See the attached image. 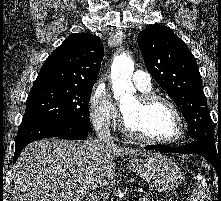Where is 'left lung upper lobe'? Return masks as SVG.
I'll return each instance as SVG.
<instances>
[{
    "mask_svg": "<svg viewBox=\"0 0 221 201\" xmlns=\"http://www.w3.org/2000/svg\"><path fill=\"white\" fill-rule=\"evenodd\" d=\"M138 45L149 73L180 107L191 140L216 148L199 69L186 44L169 27L151 25L139 33Z\"/></svg>",
    "mask_w": 221,
    "mask_h": 201,
    "instance_id": "left-lung-upper-lobe-1",
    "label": "left lung upper lobe"
}]
</instances>
